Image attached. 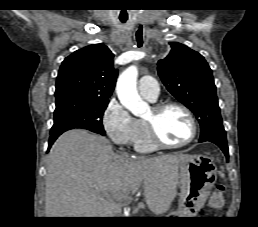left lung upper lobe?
Instances as JSON below:
<instances>
[{
  "label": "left lung upper lobe",
  "mask_w": 258,
  "mask_h": 227,
  "mask_svg": "<svg viewBox=\"0 0 258 227\" xmlns=\"http://www.w3.org/2000/svg\"><path fill=\"white\" fill-rule=\"evenodd\" d=\"M158 74L168 91L197 116L200 142L226 141L212 71L202 55L173 42L169 55L158 61Z\"/></svg>",
  "instance_id": "obj_1"
}]
</instances>
